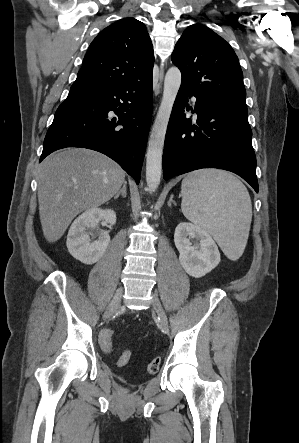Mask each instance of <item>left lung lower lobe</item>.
<instances>
[{
  "instance_id": "0a47b994",
  "label": "left lung lower lobe",
  "mask_w": 299,
  "mask_h": 443,
  "mask_svg": "<svg viewBox=\"0 0 299 443\" xmlns=\"http://www.w3.org/2000/svg\"><path fill=\"white\" fill-rule=\"evenodd\" d=\"M190 96L197 99L192 111L197 113V125L184 113L189 110ZM251 137L247 112L209 101L181 83L165 137L164 179L201 168H219L241 176L258 192Z\"/></svg>"
}]
</instances>
